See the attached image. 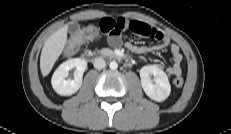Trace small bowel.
<instances>
[{"instance_id":"obj_1","label":"small bowel","mask_w":231,"mask_h":134,"mask_svg":"<svg viewBox=\"0 0 231 134\" xmlns=\"http://www.w3.org/2000/svg\"><path fill=\"white\" fill-rule=\"evenodd\" d=\"M99 30L107 36L108 43L112 46H119L122 43L121 34L125 30H130L138 36L152 38L159 42L155 49L170 47L172 63L167 68L168 74L179 76L182 73V53L176 43L165 36L160 30L139 20H129L126 18H103L99 22Z\"/></svg>"}]
</instances>
